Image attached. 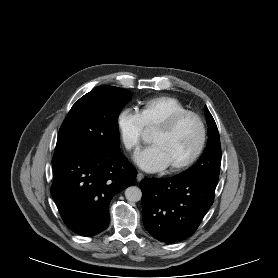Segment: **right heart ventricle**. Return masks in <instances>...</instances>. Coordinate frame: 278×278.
Wrapping results in <instances>:
<instances>
[{
	"label": "right heart ventricle",
	"mask_w": 278,
	"mask_h": 278,
	"mask_svg": "<svg viewBox=\"0 0 278 278\" xmlns=\"http://www.w3.org/2000/svg\"><path fill=\"white\" fill-rule=\"evenodd\" d=\"M188 109L177 98L171 96H158L140 102L138 113L144 127L152 129L168 120L170 117L186 112Z\"/></svg>",
	"instance_id": "1"
}]
</instances>
